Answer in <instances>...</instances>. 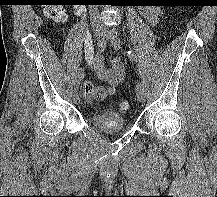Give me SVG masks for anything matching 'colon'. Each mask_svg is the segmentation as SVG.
Wrapping results in <instances>:
<instances>
[{
    "label": "colon",
    "instance_id": "5ec220e1",
    "mask_svg": "<svg viewBox=\"0 0 217 197\" xmlns=\"http://www.w3.org/2000/svg\"><path fill=\"white\" fill-rule=\"evenodd\" d=\"M42 2L45 3L43 7L47 17L59 24L67 20L66 10L56 0H43ZM84 90L87 95L92 96L96 100H100L105 96V92L101 87H96L90 82L84 83ZM118 107L121 112H127L130 110L131 104L128 100H121Z\"/></svg>",
    "mask_w": 217,
    "mask_h": 197
}]
</instances>
